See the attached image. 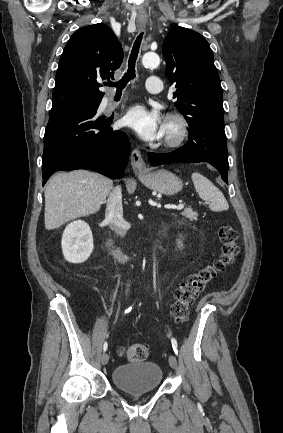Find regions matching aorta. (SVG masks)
Listing matches in <instances>:
<instances>
[{
    "instance_id": "obj_1",
    "label": "aorta",
    "mask_w": 283,
    "mask_h": 433,
    "mask_svg": "<svg viewBox=\"0 0 283 433\" xmlns=\"http://www.w3.org/2000/svg\"><path fill=\"white\" fill-rule=\"evenodd\" d=\"M142 64L147 68H155L160 64V58L156 53L148 52L144 54Z\"/></svg>"
}]
</instances>
